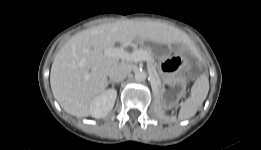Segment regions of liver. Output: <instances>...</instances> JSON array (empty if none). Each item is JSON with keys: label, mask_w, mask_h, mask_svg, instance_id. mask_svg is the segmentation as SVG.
Listing matches in <instances>:
<instances>
[{"label": "liver", "mask_w": 261, "mask_h": 150, "mask_svg": "<svg viewBox=\"0 0 261 150\" xmlns=\"http://www.w3.org/2000/svg\"><path fill=\"white\" fill-rule=\"evenodd\" d=\"M135 39L167 45L189 41L183 31L152 21L122 20L76 33L51 66V90L60 106L77 117L91 115L94 102L107 86L109 70L119 64L105 50L116 42L128 44Z\"/></svg>", "instance_id": "6515ba94"}]
</instances>
